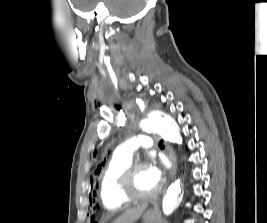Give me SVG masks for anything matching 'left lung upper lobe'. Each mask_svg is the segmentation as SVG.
<instances>
[{
	"label": "left lung upper lobe",
	"mask_w": 267,
	"mask_h": 223,
	"mask_svg": "<svg viewBox=\"0 0 267 223\" xmlns=\"http://www.w3.org/2000/svg\"><path fill=\"white\" fill-rule=\"evenodd\" d=\"M100 170L101 166L98 167V169L95 171V174L98 175L100 173ZM87 214H102V209H100L99 206H90L89 209H87Z\"/></svg>",
	"instance_id": "1"
}]
</instances>
